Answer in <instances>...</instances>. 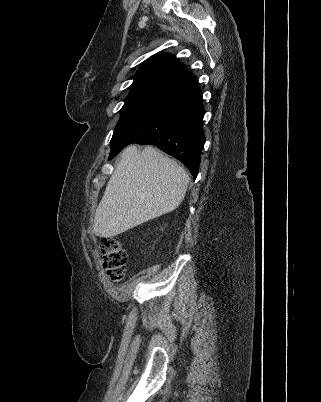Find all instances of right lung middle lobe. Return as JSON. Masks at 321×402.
<instances>
[{"instance_id": "obj_1", "label": "right lung middle lobe", "mask_w": 321, "mask_h": 402, "mask_svg": "<svg viewBox=\"0 0 321 402\" xmlns=\"http://www.w3.org/2000/svg\"><path fill=\"white\" fill-rule=\"evenodd\" d=\"M173 87L164 84H147L132 88L121 109V117L116 125L112 139L158 105L172 91Z\"/></svg>"}]
</instances>
